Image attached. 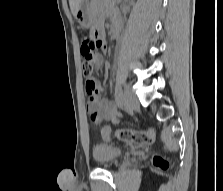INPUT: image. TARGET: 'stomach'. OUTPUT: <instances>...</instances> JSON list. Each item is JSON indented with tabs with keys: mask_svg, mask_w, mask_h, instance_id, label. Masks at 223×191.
Masks as SVG:
<instances>
[{
	"mask_svg": "<svg viewBox=\"0 0 223 191\" xmlns=\"http://www.w3.org/2000/svg\"><path fill=\"white\" fill-rule=\"evenodd\" d=\"M75 18L80 27L84 29H90L93 26L92 12L89 7V0H83V3L78 9Z\"/></svg>",
	"mask_w": 223,
	"mask_h": 191,
	"instance_id": "0dacf381",
	"label": "stomach"
}]
</instances>
